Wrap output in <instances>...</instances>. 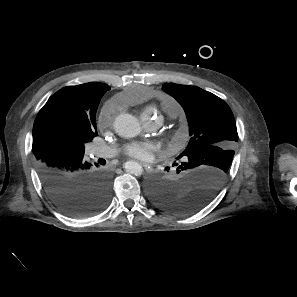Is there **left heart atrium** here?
Instances as JSON below:
<instances>
[{"label":"left heart atrium","mask_w":297,"mask_h":297,"mask_svg":"<svg viewBox=\"0 0 297 297\" xmlns=\"http://www.w3.org/2000/svg\"><path fill=\"white\" fill-rule=\"evenodd\" d=\"M155 150V145L150 142H132L124 147L128 156L139 160H150Z\"/></svg>","instance_id":"1"}]
</instances>
